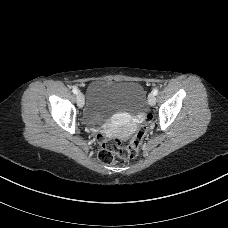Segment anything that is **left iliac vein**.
I'll use <instances>...</instances> for the list:
<instances>
[{"mask_svg":"<svg viewBox=\"0 0 228 228\" xmlns=\"http://www.w3.org/2000/svg\"><path fill=\"white\" fill-rule=\"evenodd\" d=\"M148 103L151 105V106H154L155 103H156V97L153 93H150L149 96H148Z\"/></svg>","mask_w":228,"mask_h":228,"instance_id":"left-iliac-vein-1","label":"left iliac vein"}]
</instances>
